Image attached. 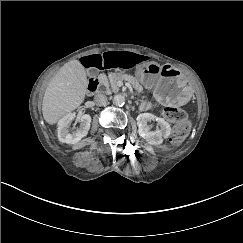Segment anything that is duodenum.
<instances>
[{
    "label": "duodenum",
    "mask_w": 243,
    "mask_h": 243,
    "mask_svg": "<svg viewBox=\"0 0 243 243\" xmlns=\"http://www.w3.org/2000/svg\"><path fill=\"white\" fill-rule=\"evenodd\" d=\"M98 87V80L96 78H91L88 82L87 90L89 93H93L96 91Z\"/></svg>",
    "instance_id": "duodenum-1"
}]
</instances>
